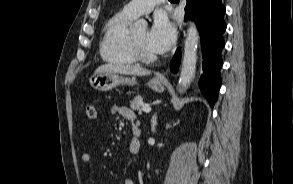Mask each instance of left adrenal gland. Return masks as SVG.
<instances>
[{
	"instance_id": "left-adrenal-gland-1",
	"label": "left adrenal gland",
	"mask_w": 293,
	"mask_h": 184,
	"mask_svg": "<svg viewBox=\"0 0 293 184\" xmlns=\"http://www.w3.org/2000/svg\"><path fill=\"white\" fill-rule=\"evenodd\" d=\"M157 125V114H154L151 119V130L154 131Z\"/></svg>"
}]
</instances>
